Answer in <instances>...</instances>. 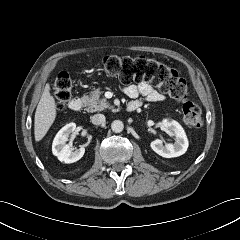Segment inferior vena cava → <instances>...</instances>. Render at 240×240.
Listing matches in <instances>:
<instances>
[{"label": "inferior vena cava", "instance_id": "602c4592", "mask_svg": "<svg viewBox=\"0 0 240 240\" xmlns=\"http://www.w3.org/2000/svg\"><path fill=\"white\" fill-rule=\"evenodd\" d=\"M91 122L94 125H100L105 122V116L103 114H95L91 117Z\"/></svg>", "mask_w": 240, "mask_h": 240}]
</instances>
